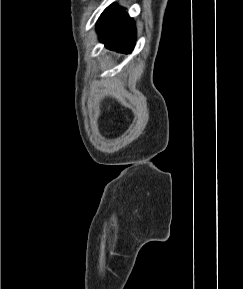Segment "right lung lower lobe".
<instances>
[{"label":"right lung lower lobe","mask_w":243,"mask_h":289,"mask_svg":"<svg viewBox=\"0 0 243 289\" xmlns=\"http://www.w3.org/2000/svg\"><path fill=\"white\" fill-rule=\"evenodd\" d=\"M100 40L109 49L130 53L135 45L136 32L133 20L116 5L109 6L97 23Z\"/></svg>","instance_id":"obj_1"}]
</instances>
